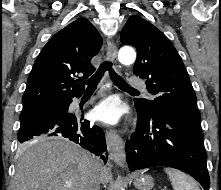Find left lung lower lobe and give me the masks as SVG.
I'll return each instance as SVG.
<instances>
[{
  "instance_id": "1",
  "label": "left lung lower lobe",
  "mask_w": 221,
  "mask_h": 190,
  "mask_svg": "<svg viewBox=\"0 0 221 190\" xmlns=\"http://www.w3.org/2000/svg\"><path fill=\"white\" fill-rule=\"evenodd\" d=\"M137 131L126 143L129 170L154 166L179 169L209 190L204 134L200 126L171 114H149L135 105Z\"/></svg>"
}]
</instances>
